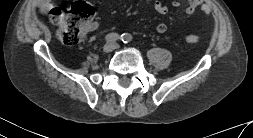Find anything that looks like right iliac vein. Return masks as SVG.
Masks as SVG:
<instances>
[{
    "mask_svg": "<svg viewBox=\"0 0 253 138\" xmlns=\"http://www.w3.org/2000/svg\"><path fill=\"white\" fill-rule=\"evenodd\" d=\"M114 49V45L111 42H107L104 46H103V52L104 53H110L112 50Z\"/></svg>",
    "mask_w": 253,
    "mask_h": 138,
    "instance_id": "right-iliac-vein-1",
    "label": "right iliac vein"
}]
</instances>
